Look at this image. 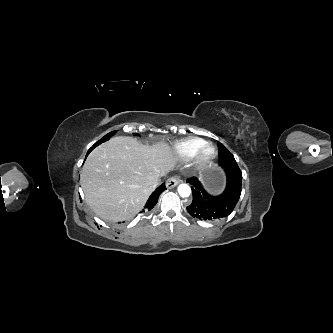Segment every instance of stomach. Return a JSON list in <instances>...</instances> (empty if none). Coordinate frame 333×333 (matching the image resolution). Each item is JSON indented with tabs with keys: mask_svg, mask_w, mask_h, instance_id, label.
Here are the masks:
<instances>
[{
	"mask_svg": "<svg viewBox=\"0 0 333 333\" xmlns=\"http://www.w3.org/2000/svg\"><path fill=\"white\" fill-rule=\"evenodd\" d=\"M200 176L211 193H218L224 185V175L218 167L206 169L200 173Z\"/></svg>",
	"mask_w": 333,
	"mask_h": 333,
	"instance_id": "1",
	"label": "stomach"
}]
</instances>
